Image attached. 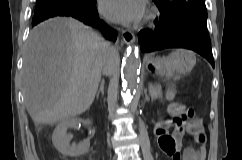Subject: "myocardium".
<instances>
[{
  "label": "myocardium",
  "mask_w": 242,
  "mask_h": 160,
  "mask_svg": "<svg viewBox=\"0 0 242 160\" xmlns=\"http://www.w3.org/2000/svg\"><path fill=\"white\" fill-rule=\"evenodd\" d=\"M156 17H157L156 11L150 10V11H148V13L146 15L145 20L147 22H152L153 20H155Z\"/></svg>",
  "instance_id": "myocardium-1"
}]
</instances>
